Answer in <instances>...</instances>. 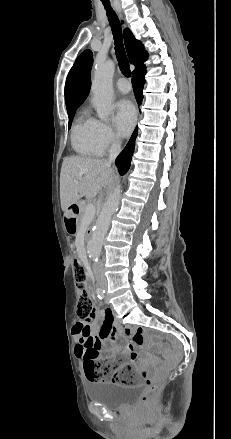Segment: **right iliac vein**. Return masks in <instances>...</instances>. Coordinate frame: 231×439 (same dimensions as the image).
I'll use <instances>...</instances> for the list:
<instances>
[{
  "instance_id": "right-iliac-vein-1",
  "label": "right iliac vein",
  "mask_w": 231,
  "mask_h": 439,
  "mask_svg": "<svg viewBox=\"0 0 231 439\" xmlns=\"http://www.w3.org/2000/svg\"><path fill=\"white\" fill-rule=\"evenodd\" d=\"M103 287H106V284H103Z\"/></svg>"
}]
</instances>
